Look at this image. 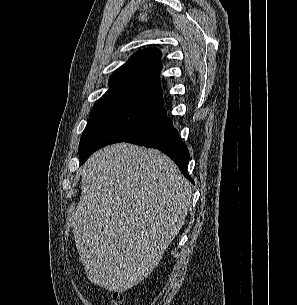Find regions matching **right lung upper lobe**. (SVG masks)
<instances>
[{
  "label": "right lung upper lobe",
  "instance_id": "right-lung-upper-lobe-1",
  "mask_svg": "<svg viewBox=\"0 0 297 305\" xmlns=\"http://www.w3.org/2000/svg\"><path fill=\"white\" fill-rule=\"evenodd\" d=\"M161 52L148 48L134 54L110 77L109 90L95 105L120 98H140L163 103L159 73Z\"/></svg>",
  "mask_w": 297,
  "mask_h": 305
}]
</instances>
